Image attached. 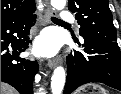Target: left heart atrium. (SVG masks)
<instances>
[{
  "mask_svg": "<svg viewBox=\"0 0 121 94\" xmlns=\"http://www.w3.org/2000/svg\"><path fill=\"white\" fill-rule=\"evenodd\" d=\"M57 49V42L55 38L49 34L45 35L38 44V52L50 55Z\"/></svg>",
  "mask_w": 121,
  "mask_h": 94,
  "instance_id": "1",
  "label": "left heart atrium"
}]
</instances>
